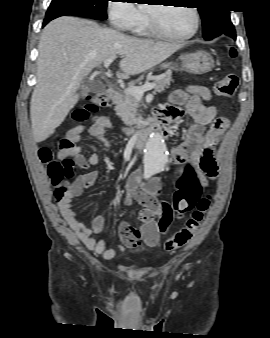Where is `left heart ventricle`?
<instances>
[{"instance_id": "left-heart-ventricle-1", "label": "left heart ventricle", "mask_w": 270, "mask_h": 338, "mask_svg": "<svg viewBox=\"0 0 270 338\" xmlns=\"http://www.w3.org/2000/svg\"><path fill=\"white\" fill-rule=\"evenodd\" d=\"M159 27L172 35H186L194 28V15L188 7L150 5Z\"/></svg>"}]
</instances>
